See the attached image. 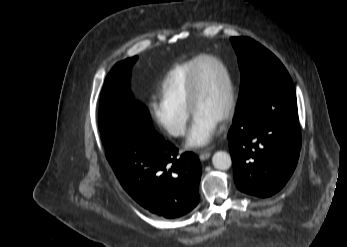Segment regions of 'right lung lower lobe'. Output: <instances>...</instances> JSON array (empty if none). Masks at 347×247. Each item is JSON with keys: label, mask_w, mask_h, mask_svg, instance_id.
<instances>
[{"label": "right lung lower lobe", "mask_w": 347, "mask_h": 247, "mask_svg": "<svg viewBox=\"0 0 347 247\" xmlns=\"http://www.w3.org/2000/svg\"><path fill=\"white\" fill-rule=\"evenodd\" d=\"M107 159L125 191L141 206L178 218L199 203L197 156L165 141L151 126L129 119L100 130Z\"/></svg>", "instance_id": "1"}]
</instances>
